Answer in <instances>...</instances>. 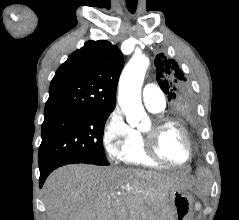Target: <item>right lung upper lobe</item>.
Here are the masks:
<instances>
[{"label": "right lung upper lobe", "instance_id": "1", "mask_svg": "<svg viewBox=\"0 0 239 220\" xmlns=\"http://www.w3.org/2000/svg\"><path fill=\"white\" fill-rule=\"evenodd\" d=\"M124 61L106 40L88 41L72 53L53 77L44 115L59 112L113 111Z\"/></svg>", "mask_w": 239, "mask_h": 220}]
</instances>
